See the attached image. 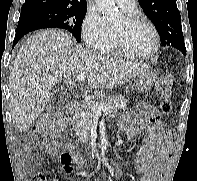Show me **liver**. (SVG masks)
<instances>
[{
  "mask_svg": "<svg viewBox=\"0 0 197 181\" xmlns=\"http://www.w3.org/2000/svg\"><path fill=\"white\" fill-rule=\"evenodd\" d=\"M146 68L73 46L65 32L39 31L21 46L13 64L9 90L14 128L26 131L49 103L53 86L62 79L73 85L75 73L86 74L91 89H103L123 85Z\"/></svg>",
  "mask_w": 197,
  "mask_h": 181,
  "instance_id": "1",
  "label": "liver"
}]
</instances>
